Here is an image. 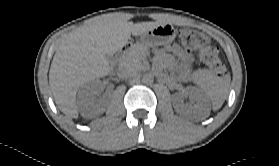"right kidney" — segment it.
Returning a JSON list of instances; mask_svg holds the SVG:
<instances>
[{
	"label": "right kidney",
	"mask_w": 279,
	"mask_h": 166,
	"mask_svg": "<svg viewBox=\"0 0 279 166\" xmlns=\"http://www.w3.org/2000/svg\"><path fill=\"white\" fill-rule=\"evenodd\" d=\"M100 88H102V83L100 81H92L88 84L83 93L80 94L79 102L84 110L94 104Z\"/></svg>",
	"instance_id": "1"
}]
</instances>
